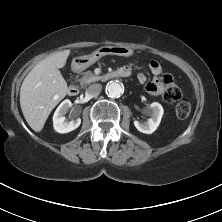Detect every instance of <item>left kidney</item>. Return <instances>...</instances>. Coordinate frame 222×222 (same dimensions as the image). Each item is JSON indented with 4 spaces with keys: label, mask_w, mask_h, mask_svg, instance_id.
I'll return each mask as SVG.
<instances>
[{
    "label": "left kidney",
    "mask_w": 222,
    "mask_h": 222,
    "mask_svg": "<svg viewBox=\"0 0 222 222\" xmlns=\"http://www.w3.org/2000/svg\"><path fill=\"white\" fill-rule=\"evenodd\" d=\"M151 118L147 122L134 121V125L138 131L145 134H152L160 124L164 110L161 104L153 102L149 106Z\"/></svg>",
    "instance_id": "obj_1"
}]
</instances>
